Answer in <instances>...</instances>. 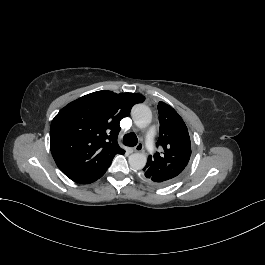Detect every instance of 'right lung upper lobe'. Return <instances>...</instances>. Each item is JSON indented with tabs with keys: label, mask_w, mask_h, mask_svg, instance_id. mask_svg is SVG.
Wrapping results in <instances>:
<instances>
[{
	"label": "right lung upper lobe",
	"mask_w": 265,
	"mask_h": 265,
	"mask_svg": "<svg viewBox=\"0 0 265 265\" xmlns=\"http://www.w3.org/2000/svg\"><path fill=\"white\" fill-rule=\"evenodd\" d=\"M145 97L97 91L62 108L50 127V148L59 169L71 180L89 184L104 175L116 154L120 120Z\"/></svg>",
	"instance_id": "right-lung-upper-lobe-1"
}]
</instances>
